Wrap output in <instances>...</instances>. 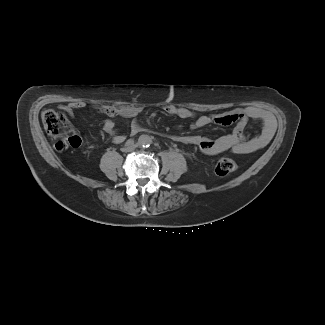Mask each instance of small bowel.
I'll list each match as a JSON object with an SVG mask.
<instances>
[{"instance_id": "1", "label": "small bowel", "mask_w": 325, "mask_h": 325, "mask_svg": "<svg viewBox=\"0 0 325 325\" xmlns=\"http://www.w3.org/2000/svg\"><path fill=\"white\" fill-rule=\"evenodd\" d=\"M84 106L85 104L83 102H73L64 105L62 108L71 115L75 110L81 109ZM100 111L108 116L103 121L104 132L112 142L119 144L126 140V135L117 128L115 122L110 117L134 118L141 110L131 106H103ZM162 111L167 115L176 116L181 119H190L189 129L191 130L199 129L210 124L221 126L233 125L232 133L216 139H210L200 135L176 134L171 136L172 140L176 142L195 146L199 151L213 155L227 151L233 154H249L255 152L267 146L275 131L273 115L264 109L254 106L236 108L217 115H198L190 109L178 107L173 104L164 105ZM249 120H257L262 125L260 133L252 137L246 134V127ZM175 129L182 130L183 126L181 124L176 125ZM142 130L141 125L137 121H133L129 134L130 136H135ZM78 139L80 143L75 147H79L81 144V139L79 137Z\"/></svg>"}]
</instances>
